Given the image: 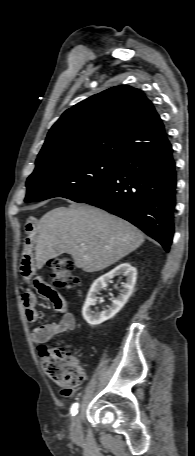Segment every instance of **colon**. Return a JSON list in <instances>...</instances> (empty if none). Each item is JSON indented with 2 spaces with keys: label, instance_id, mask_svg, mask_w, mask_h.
<instances>
[{
  "label": "colon",
  "instance_id": "5ec220e1",
  "mask_svg": "<svg viewBox=\"0 0 195 456\" xmlns=\"http://www.w3.org/2000/svg\"><path fill=\"white\" fill-rule=\"evenodd\" d=\"M52 280L57 288H69L80 283L74 272V263L69 257L53 258L48 262ZM40 356L47 374L61 387L74 388L84 380V370L69 356L65 348L40 346Z\"/></svg>",
  "mask_w": 195,
  "mask_h": 456
}]
</instances>
